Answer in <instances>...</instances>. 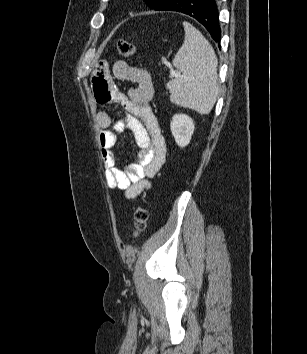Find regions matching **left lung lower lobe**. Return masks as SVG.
<instances>
[{
    "label": "left lung lower lobe",
    "instance_id": "left-lung-lower-lobe-1",
    "mask_svg": "<svg viewBox=\"0 0 307 354\" xmlns=\"http://www.w3.org/2000/svg\"><path fill=\"white\" fill-rule=\"evenodd\" d=\"M159 10L182 12L193 17L207 29L216 42H220L219 12L215 0H169Z\"/></svg>",
    "mask_w": 307,
    "mask_h": 354
}]
</instances>
